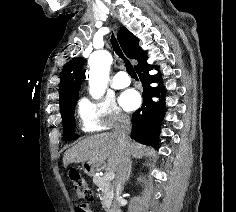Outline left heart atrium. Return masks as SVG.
<instances>
[{
    "label": "left heart atrium",
    "mask_w": 236,
    "mask_h": 212,
    "mask_svg": "<svg viewBox=\"0 0 236 212\" xmlns=\"http://www.w3.org/2000/svg\"><path fill=\"white\" fill-rule=\"evenodd\" d=\"M140 102V95L134 89L124 91L120 97V104L127 111L136 109L140 105Z\"/></svg>",
    "instance_id": "obj_1"
}]
</instances>
